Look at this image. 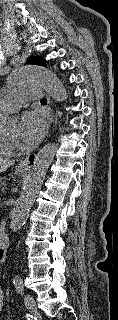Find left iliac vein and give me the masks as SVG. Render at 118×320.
Wrapping results in <instances>:
<instances>
[{
	"instance_id": "obj_1",
	"label": "left iliac vein",
	"mask_w": 118,
	"mask_h": 320,
	"mask_svg": "<svg viewBox=\"0 0 118 320\" xmlns=\"http://www.w3.org/2000/svg\"><path fill=\"white\" fill-rule=\"evenodd\" d=\"M24 301H25L26 308L30 312L36 311V309H37L36 302H35L34 298L31 295H29V294L25 295Z\"/></svg>"
}]
</instances>
